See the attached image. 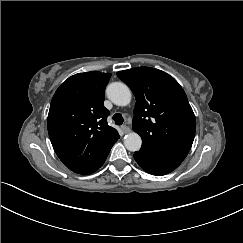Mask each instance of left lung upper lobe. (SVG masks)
Segmentation results:
<instances>
[{
  "mask_svg": "<svg viewBox=\"0 0 243 243\" xmlns=\"http://www.w3.org/2000/svg\"><path fill=\"white\" fill-rule=\"evenodd\" d=\"M136 98L133 130L141 149L182 162L191 149L196 119L187 96L169 74L151 67L117 72Z\"/></svg>",
  "mask_w": 243,
  "mask_h": 243,
  "instance_id": "obj_1",
  "label": "left lung upper lobe"
}]
</instances>
